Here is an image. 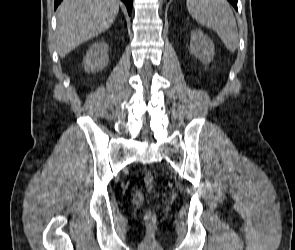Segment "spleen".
<instances>
[{
	"mask_svg": "<svg viewBox=\"0 0 295 250\" xmlns=\"http://www.w3.org/2000/svg\"><path fill=\"white\" fill-rule=\"evenodd\" d=\"M186 3L193 19L216 31L229 51L237 49L236 19L227 0H187Z\"/></svg>",
	"mask_w": 295,
	"mask_h": 250,
	"instance_id": "spleen-1",
	"label": "spleen"
}]
</instances>
